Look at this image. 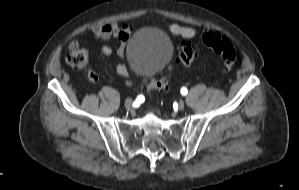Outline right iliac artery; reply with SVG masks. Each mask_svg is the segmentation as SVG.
<instances>
[{"label": "right iliac artery", "instance_id": "right-iliac-artery-1", "mask_svg": "<svg viewBox=\"0 0 299 190\" xmlns=\"http://www.w3.org/2000/svg\"><path fill=\"white\" fill-rule=\"evenodd\" d=\"M142 100H144V96L143 95H139L138 97H137V102H140V101H142Z\"/></svg>", "mask_w": 299, "mask_h": 190}]
</instances>
